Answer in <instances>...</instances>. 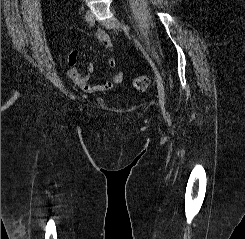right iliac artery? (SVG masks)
I'll return each instance as SVG.
<instances>
[{
	"mask_svg": "<svg viewBox=\"0 0 245 239\" xmlns=\"http://www.w3.org/2000/svg\"><path fill=\"white\" fill-rule=\"evenodd\" d=\"M94 25H95V21H94V20H92V21L90 22L89 27H90V28H92Z\"/></svg>",
	"mask_w": 245,
	"mask_h": 239,
	"instance_id": "1",
	"label": "right iliac artery"
}]
</instances>
